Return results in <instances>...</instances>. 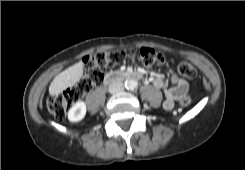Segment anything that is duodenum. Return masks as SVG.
Masks as SVG:
<instances>
[{"mask_svg": "<svg viewBox=\"0 0 245 170\" xmlns=\"http://www.w3.org/2000/svg\"><path fill=\"white\" fill-rule=\"evenodd\" d=\"M129 78L140 79L141 74L139 72H119V71L110 72L105 75L104 82L106 84H109L112 82H116L122 79H129Z\"/></svg>", "mask_w": 245, "mask_h": 170, "instance_id": "duodenum-1", "label": "duodenum"}]
</instances>
